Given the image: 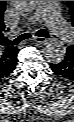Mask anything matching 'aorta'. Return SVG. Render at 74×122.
Masks as SVG:
<instances>
[{
    "label": "aorta",
    "mask_w": 74,
    "mask_h": 122,
    "mask_svg": "<svg viewBox=\"0 0 74 122\" xmlns=\"http://www.w3.org/2000/svg\"><path fill=\"white\" fill-rule=\"evenodd\" d=\"M40 1H11V4L20 13L28 14L33 12ZM44 57L48 62L59 63L66 54V47L61 40L52 39L42 49Z\"/></svg>",
    "instance_id": "obj_1"
}]
</instances>
